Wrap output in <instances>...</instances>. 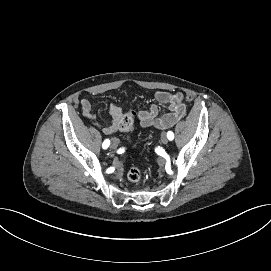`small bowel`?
I'll return each mask as SVG.
<instances>
[{
	"mask_svg": "<svg viewBox=\"0 0 271 271\" xmlns=\"http://www.w3.org/2000/svg\"><path fill=\"white\" fill-rule=\"evenodd\" d=\"M156 104H152L149 109L141 110L137 113V118L142 127H157L165 129L177 123L187 111L186 98L181 92L158 91L155 94ZM159 104L168 105V111L161 114ZM81 111L83 115L89 119H95L92 105L89 100L82 99L80 101ZM109 113L112 117L111 121L101 126L103 133L109 135L119 129V122L123 117V109L115 104L109 106Z\"/></svg>",
	"mask_w": 271,
	"mask_h": 271,
	"instance_id": "small-bowel-1",
	"label": "small bowel"
}]
</instances>
